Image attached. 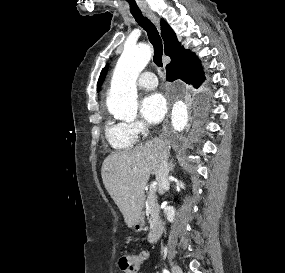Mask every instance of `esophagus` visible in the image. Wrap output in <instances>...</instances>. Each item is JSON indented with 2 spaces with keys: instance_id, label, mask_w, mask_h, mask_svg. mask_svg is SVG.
<instances>
[{
  "instance_id": "1",
  "label": "esophagus",
  "mask_w": 285,
  "mask_h": 273,
  "mask_svg": "<svg viewBox=\"0 0 285 273\" xmlns=\"http://www.w3.org/2000/svg\"><path fill=\"white\" fill-rule=\"evenodd\" d=\"M145 15L151 19V21L157 26L159 27V19L157 18V16L151 12V11H145Z\"/></svg>"
}]
</instances>
